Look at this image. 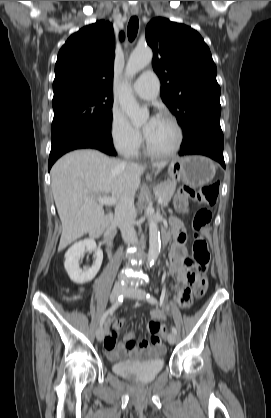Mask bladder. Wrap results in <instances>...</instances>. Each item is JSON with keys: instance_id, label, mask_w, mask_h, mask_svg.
Segmentation results:
<instances>
[{"instance_id": "obj_1", "label": "bladder", "mask_w": 271, "mask_h": 418, "mask_svg": "<svg viewBox=\"0 0 271 418\" xmlns=\"http://www.w3.org/2000/svg\"><path fill=\"white\" fill-rule=\"evenodd\" d=\"M163 353L153 354L143 361L120 360L114 364V372L132 378L140 383L153 381L164 369Z\"/></svg>"}]
</instances>
